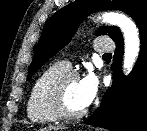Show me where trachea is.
<instances>
[{
    "label": "trachea",
    "mask_w": 147,
    "mask_h": 131,
    "mask_svg": "<svg viewBox=\"0 0 147 131\" xmlns=\"http://www.w3.org/2000/svg\"><path fill=\"white\" fill-rule=\"evenodd\" d=\"M103 57H111V53H105Z\"/></svg>",
    "instance_id": "obj_1"
}]
</instances>
